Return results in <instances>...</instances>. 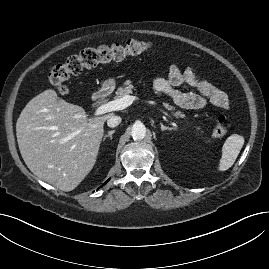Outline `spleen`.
<instances>
[{
  "instance_id": "1",
  "label": "spleen",
  "mask_w": 269,
  "mask_h": 269,
  "mask_svg": "<svg viewBox=\"0 0 269 269\" xmlns=\"http://www.w3.org/2000/svg\"><path fill=\"white\" fill-rule=\"evenodd\" d=\"M244 137L238 134H232L227 138L222 147V157L219 162L218 171L228 170L235 163L242 147Z\"/></svg>"
}]
</instances>
